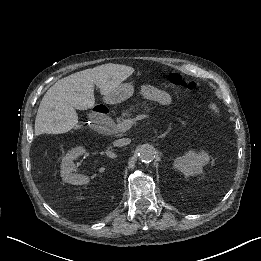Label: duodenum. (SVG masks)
Returning a JSON list of instances; mask_svg holds the SVG:
<instances>
[{"label":"duodenum","mask_w":261,"mask_h":261,"mask_svg":"<svg viewBox=\"0 0 261 261\" xmlns=\"http://www.w3.org/2000/svg\"><path fill=\"white\" fill-rule=\"evenodd\" d=\"M91 117L96 122H103L108 117V110L103 105H96L91 110Z\"/></svg>","instance_id":"1"}]
</instances>
